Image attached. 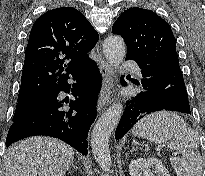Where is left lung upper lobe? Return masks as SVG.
<instances>
[{
	"label": "left lung upper lobe",
	"mask_w": 205,
	"mask_h": 176,
	"mask_svg": "<svg viewBox=\"0 0 205 176\" xmlns=\"http://www.w3.org/2000/svg\"><path fill=\"white\" fill-rule=\"evenodd\" d=\"M127 46V55L143 67L179 66L176 40L170 25L156 13L142 8H129L113 25Z\"/></svg>",
	"instance_id": "5c2ea615"
}]
</instances>
